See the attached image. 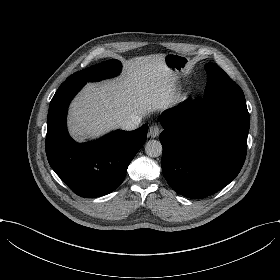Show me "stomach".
<instances>
[{
    "instance_id": "1",
    "label": "stomach",
    "mask_w": 280,
    "mask_h": 280,
    "mask_svg": "<svg viewBox=\"0 0 280 280\" xmlns=\"http://www.w3.org/2000/svg\"><path fill=\"white\" fill-rule=\"evenodd\" d=\"M164 60L166 66L178 76L188 74L191 69L190 59L184 55L168 53Z\"/></svg>"
}]
</instances>
